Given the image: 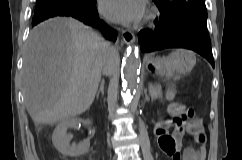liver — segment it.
Here are the masks:
<instances>
[{
	"label": "liver",
	"mask_w": 242,
	"mask_h": 160,
	"mask_svg": "<svg viewBox=\"0 0 242 160\" xmlns=\"http://www.w3.org/2000/svg\"><path fill=\"white\" fill-rule=\"evenodd\" d=\"M108 58L107 43L75 19L54 18L35 27L22 71L25 106L34 123L54 124L89 109L101 79L98 69Z\"/></svg>",
	"instance_id": "6515ba94"
}]
</instances>
